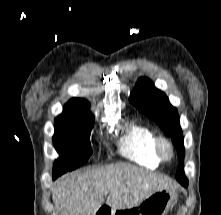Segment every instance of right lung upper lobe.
<instances>
[{"label":"right lung upper lobe","instance_id":"obj_1","mask_svg":"<svg viewBox=\"0 0 221 215\" xmlns=\"http://www.w3.org/2000/svg\"><path fill=\"white\" fill-rule=\"evenodd\" d=\"M80 104H85V105H89L88 101L85 99H81V98H73L71 99L66 105L65 107H71V106H76V105H80ZM64 107V108H65Z\"/></svg>","mask_w":221,"mask_h":215}]
</instances>
